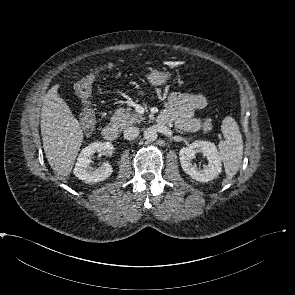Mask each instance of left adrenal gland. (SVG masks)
<instances>
[{
  "instance_id": "a2214340",
  "label": "left adrenal gland",
  "mask_w": 295,
  "mask_h": 295,
  "mask_svg": "<svg viewBox=\"0 0 295 295\" xmlns=\"http://www.w3.org/2000/svg\"><path fill=\"white\" fill-rule=\"evenodd\" d=\"M176 132L180 133V134H183L184 132L183 131H180L178 129H176Z\"/></svg>"
}]
</instances>
